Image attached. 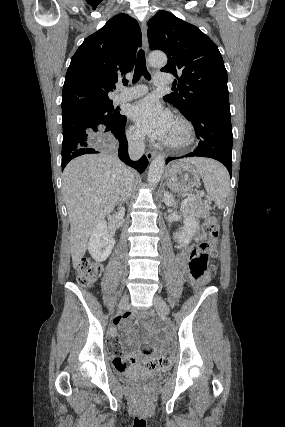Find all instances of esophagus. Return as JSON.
<instances>
[{"label":"esophagus","instance_id":"esophagus-1","mask_svg":"<svg viewBox=\"0 0 285 427\" xmlns=\"http://www.w3.org/2000/svg\"><path fill=\"white\" fill-rule=\"evenodd\" d=\"M141 32H142V43H143L146 54H148L149 49H148V39H147V25L145 21L141 22ZM155 155H156L155 151L146 152V157L149 161H151Z\"/></svg>","mask_w":285,"mask_h":427}]
</instances>
